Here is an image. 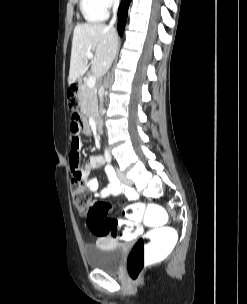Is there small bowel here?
<instances>
[{
    "instance_id": "obj_1",
    "label": "small bowel",
    "mask_w": 247,
    "mask_h": 304,
    "mask_svg": "<svg viewBox=\"0 0 247 304\" xmlns=\"http://www.w3.org/2000/svg\"><path fill=\"white\" fill-rule=\"evenodd\" d=\"M71 119H81L80 120H69L68 125L71 127L70 134V152L68 157L70 159V168L73 175V179L82 181L86 190L91 193H94L99 198H107L109 196L119 195L124 193L127 198L135 199L137 197L136 192L129 188L122 186L112 167H106V174L109 180V183L106 187L99 191V182L98 179L91 176L93 170L98 169L103 166L104 159L102 156L96 155L91 156L89 159L83 163L84 154L81 147V137L84 134L90 133V127L86 121L82 120V112H71Z\"/></svg>"
}]
</instances>
